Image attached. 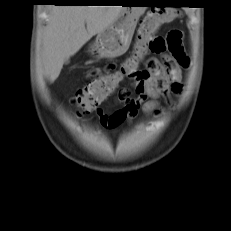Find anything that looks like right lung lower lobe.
<instances>
[{"label":"right lung lower lobe","instance_id":"98d812e1","mask_svg":"<svg viewBox=\"0 0 231 231\" xmlns=\"http://www.w3.org/2000/svg\"><path fill=\"white\" fill-rule=\"evenodd\" d=\"M53 2H56L59 5H66V4H73L75 2L67 1V0H52Z\"/></svg>","mask_w":231,"mask_h":231}]
</instances>
